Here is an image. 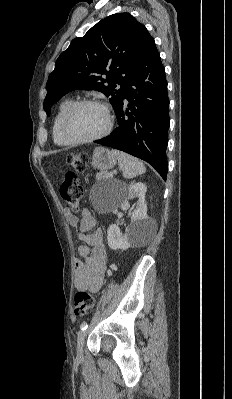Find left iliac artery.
I'll return each mask as SVG.
<instances>
[{
    "instance_id": "44dca946",
    "label": "left iliac artery",
    "mask_w": 232,
    "mask_h": 399,
    "mask_svg": "<svg viewBox=\"0 0 232 399\" xmlns=\"http://www.w3.org/2000/svg\"><path fill=\"white\" fill-rule=\"evenodd\" d=\"M82 331H85L88 328V323L87 322H83L80 326Z\"/></svg>"
}]
</instances>
